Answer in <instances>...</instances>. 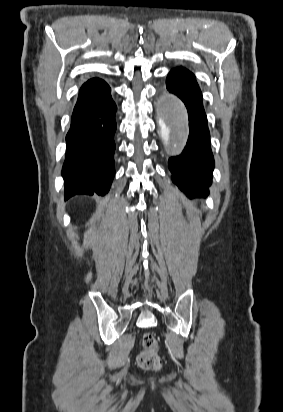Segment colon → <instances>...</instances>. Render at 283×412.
<instances>
[{
    "label": "colon",
    "instance_id": "1",
    "mask_svg": "<svg viewBox=\"0 0 283 412\" xmlns=\"http://www.w3.org/2000/svg\"><path fill=\"white\" fill-rule=\"evenodd\" d=\"M143 350L137 356L138 365L145 370H157L161 366L159 347L156 337L151 332L144 333L142 337Z\"/></svg>",
    "mask_w": 283,
    "mask_h": 412
}]
</instances>
